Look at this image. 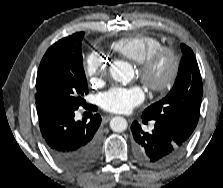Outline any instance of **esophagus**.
Masks as SVG:
<instances>
[{
  "instance_id": "34e87169",
  "label": "esophagus",
  "mask_w": 223,
  "mask_h": 188,
  "mask_svg": "<svg viewBox=\"0 0 223 188\" xmlns=\"http://www.w3.org/2000/svg\"><path fill=\"white\" fill-rule=\"evenodd\" d=\"M112 117H113L112 115H108V116H105V117L103 118V120L107 122V121H109Z\"/></svg>"
}]
</instances>
